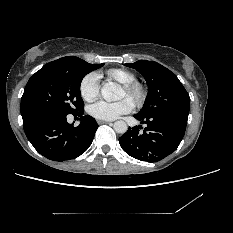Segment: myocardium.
I'll list each match as a JSON object with an SVG mask.
<instances>
[{"instance_id": "obj_1", "label": "myocardium", "mask_w": 233, "mask_h": 233, "mask_svg": "<svg viewBox=\"0 0 233 233\" xmlns=\"http://www.w3.org/2000/svg\"><path fill=\"white\" fill-rule=\"evenodd\" d=\"M122 88L134 105L141 106L144 104L147 98V89L143 83L134 80L130 83L122 84Z\"/></svg>"}]
</instances>
